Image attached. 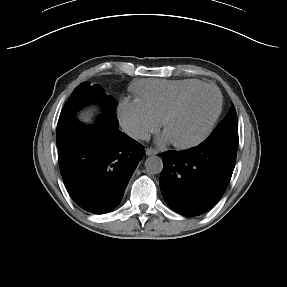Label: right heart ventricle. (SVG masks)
Here are the masks:
<instances>
[{"mask_svg":"<svg viewBox=\"0 0 287 287\" xmlns=\"http://www.w3.org/2000/svg\"><path fill=\"white\" fill-rule=\"evenodd\" d=\"M203 84L196 79L142 80L135 85L138 99L160 121L172 104L187 90Z\"/></svg>","mask_w":287,"mask_h":287,"instance_id":"obj_1","label":"right heart ventricle"}]
</instances>
